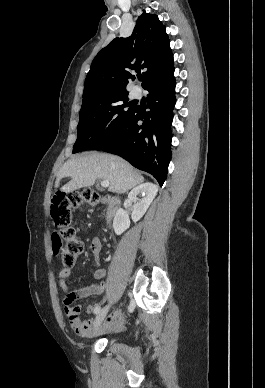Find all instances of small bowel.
Listing matches in <instances>:
<instances>
[{
	"instance_id": "c3829d8e",
	"label": "small bowel",
	"mask_w": 265,
	"mask_h": 388,
	"mask_svg": "<svg viewBox=\"0 0 265 388\" xmlns=\"http://www.w3.org/2000/svg\"><path fill=\"white\" fill-rule=\"evenodd\" d=\"M101 240L98 237H93L90 242V249L97 266V270L95 271L96 282L82 287L80 289L70 291L65 279L70 276L71 270L69 267L62 269L59 273L60 288L63 294V301L65 304V311L69 315L71 327L73 330L80 336L88 337L92 333V329L94 328L95 318H89L87 320H80L79 308L73 307L72 304L77 299H86L91 298L95 295L103 294L106 288V282L104 280L105 271L101 267L100 263V252H101ZM98 304L89 303L86 307L88 313H94ZM122 320V315L120 311L114 312L105 322L104 326L99 329L98 333H103L108 330L115 329L119 326ZM95 330V329H94Z\"/></svg>"
}]
</instances>
